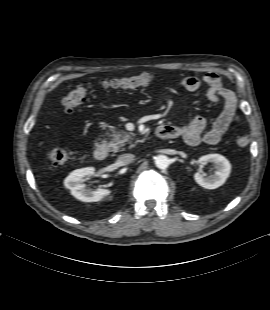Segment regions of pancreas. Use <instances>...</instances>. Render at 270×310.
Masks as SVG:
<instances>
[{"label":"pancreas","instance_id":"cf45deb5","mask_svg":"<svg viewBox=\"0 0 270 310\" xmlns=\"http://www.w3.org/2000/svg\"><path fill=\"white\" fill-rule=\"evenodd\" d=\"M112 139L106 143L108 149L113 152H118L119 150L124 151L125 146L129 144V148L133 147V141L135 135L133 133L126 132L124 130H120L116 127L110 128Z\"/></svg>","mask_w":270,"mask_h":310}]
</instances>
